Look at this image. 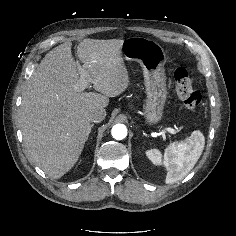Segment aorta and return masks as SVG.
<instances>
[{
    "label": "aorta",
    "instance_id": "aorta-1",
    "mask_svg": "<svg viewBox=\"0 0 236 236\" xmlns=\"http://www.w3.org/2000/svg\"><path fill=\"white\" fill-rule=\"evenodd\" d=\"M114 139L122 140L127 136V128L124 124H116L111 130Z\"/></svg>",
    "mask_w": 236,
    "mask_h": 236
}]
</instances>
